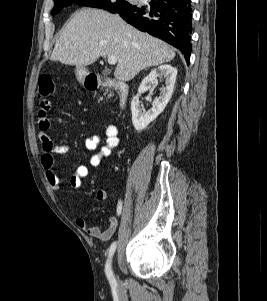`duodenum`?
I'll list each match as a JSON object with an SVG mask.
<instances>
[{"instance_id": "obj_1", "label": "duodenum", "mask_w": 267, "mask_h": 301, "mask_svg": "<svg viewBox=\"0 0 267 301\" xmlns=\"http://www.w3.org/2000/svg\"><path fill=\"white\" fill-rule=\"evenodd\" d=\"M84 80L85 87L90 91H115L118 99V108L120 110L125 108L128 96V86L125 82L120 80H103L92 74L85 75Z\"/></svg>"}]
</instances>
